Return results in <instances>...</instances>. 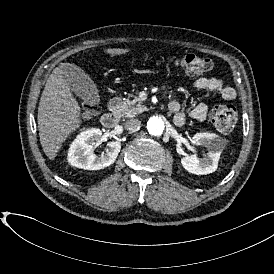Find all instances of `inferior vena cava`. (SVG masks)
Masks as SVG:
<instances>
[{
    "mask_svg": "<svg viewBox=\"0 0 274 274\" xmlns=\"http://www.w3.org/2000/svg\"><path fill=\"white\" fill-rule=\"evenodd\" d=\"M141 126V121L135 118L126 120L124 123V128L128 131H136Z\"/></svg>",
    "mask_w": 274,
    "mask_h": 274,
    "instance_id": "obj_1",
    "label": "inferior vena cava"
}]
</instances>
